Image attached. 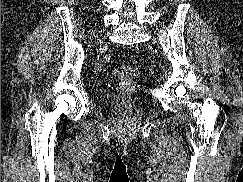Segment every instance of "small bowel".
<instances>
[{
  "label": "small bowel",
  "mask_w": 243,
  "mask_h": 182,
  "mask_svg": "<svg viewBox=\"0 0 243 182\" xmlns=\"http://www.w3.org/2000/svg\"><path fill=\"white\" fill-rule=\"evenodd\" d=\"M101 67H102V63H100V64L97 66V71H98V72L101 70Z\"/></svg>",
  "instance_id": "small-bowel-1"
}]
</instances>
